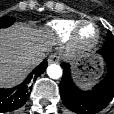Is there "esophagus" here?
<instances>
[{"instance_id": "esophagus-1", "label": "esophagus", "mask_w": 114, "mask_h": 114, "mask_svg": "<svg viewBox=\"0 0 114 114\" xmlns=\"http://www.w3.org/2000/svg\"><path fill=\"white\" fill-rule=\"evenodd\" d=\"M59 61V57L56 54H51L48 57V63L52 64V63H57Z\"/></svg>"}]
</instances>
